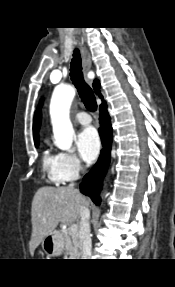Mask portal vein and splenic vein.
<instances>
[{
    "instance_id": "obj_1",
    "label": "portal vein and splenic vein",
    "mask_w": 175,
    "mask_h": 287,
    "mask_svg": "<svg viewBox=\"0 0 175 287\" xmlns=\"http://www.w3.org/2000/svg\"><path fill=\"white\" fill-rule=\"evenodd\" d=\"M69 230L73 233L77 232V225L76 224H72L70 227H69Z\"/></svg>"
}]
</instances>
